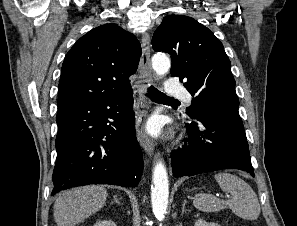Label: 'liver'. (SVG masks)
Wrapping results in <instances>:
<instances>
[{
    "label": "liver",
    "instance_id": "obj_1",
    "mask_svg": "<svg viewBox=\"0 0 297 226\" xmlns=\"http://www.w3.org/2000/svg\"><path fill=\"white\" fill-rule=\"evenodd\" d=\"M107 196V190L96 185L62 192L54 203L57 226H75L82 222L105 205Z\"/></svg>",
    "mask_w": 297,
    "mask_h": 226
}]
</instances>
